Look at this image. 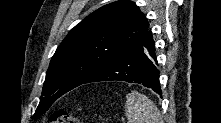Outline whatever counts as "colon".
<instances>
[{"mask_svg":"<svg viewBox=\"0 0 221 123\" xmlns=\"http://www.w3.org/2000/svg\"><path fill=\"white\" fill-rule=\"evenodd\" d=\"M51 123H78L79 119L63 110L55 111L50 117Z\"/></svg>","mask_w":221,"mask_h":123,"instance_id":"obj_1","label":"colon"}]
</instances>
